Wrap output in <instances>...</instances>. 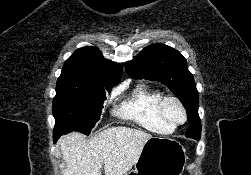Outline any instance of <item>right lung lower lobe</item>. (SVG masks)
Returning <instances> with one entry per match:
<instances>
[{"instance_id":"right-lung-lower-lobe-1","label":"right lung lower lobe","mask_w":251,"mask_h":175,"mask_svg":"<svg viewBox=\"0 0 251 175\" xmlns=\"http://www.w3.org/2000/svg\"><path fill=\"white\" fill-rule=\"evenodd\" d=\"M58 138L59 137L56 134H54V142H56Z\"/></svg>"}]
</instances>
